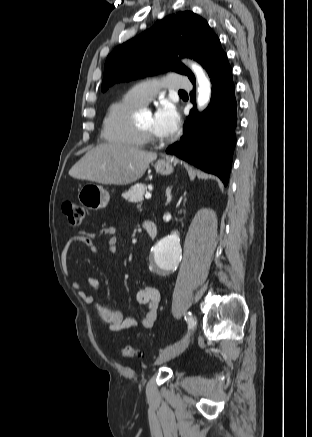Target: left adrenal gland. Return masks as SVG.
<instances>
[{
  "mask_svg": "<svg viewBox=\"0 0 312 437\" xmlns=\"http://www.w3.org/2000/svg\"><path fill=\"white\" fill-rule=\"evenodd\" d=\"M166 196H167V203H166V204H169V203L171 202V200H172V196H171V188H168V189L166 190Z\"/></svg>",
  "mask_w": 312,
  "mask_h": 437,
  "instance_id": "obj_1",
  "label": "left adrenal gland"
}]
</instances>
